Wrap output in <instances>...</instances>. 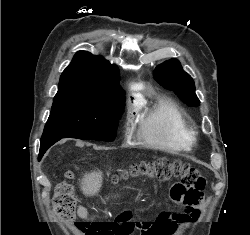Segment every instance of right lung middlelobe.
Listing matches in <instances>:
<instances>
[{"label": "right lung middle lobe", "instance_id": "1", "mask_svg": "<svg viewBox=\"0 0 250 235\" xmlns=\"http://www.w3.org/2000/svg\"><path fill=\"white\" fill-rule=\"evenodd\" d=\"M124 102V94L54 99L41 142L67 137L112 142Z\"/></svg>", "mask_w": 250, "mask_h": 235}]
</instances>
